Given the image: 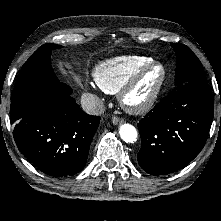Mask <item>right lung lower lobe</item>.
<instances>
[{"mask_svg":"<svg viewBox=\"0 0 221 221\" xmlns=\"http://www.w3.org/2000/svg\"><path fill=\"white\" fill-rule=\"evenodd\" d=\"M72 88L45 81L12 96L10 121L20 152L42 172L55 177L81 171L87 161L99 116L88 115L71 97Z\"/></svg>","mask_w":221,"mask_h":221,"instance_id":"1","label":"right lung lower lobe"}]
</instances>
